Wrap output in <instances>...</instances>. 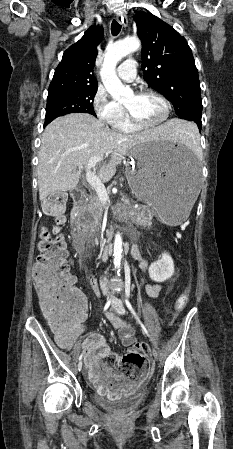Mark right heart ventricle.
I'll list each match as a JSON object with an SVG mask.
<instances>
[{
    "mask_svg": "<svg viewBox=\"0 0 233 449\" xmlns=\"http://www.w3.org/2000/svg\"><path fill=\"white\" fill-rule=\"evenodd\" d=\"M111 125L116 131L125 134H132L140 130L130 122L126 114V111L122 106H120L119 115L116 117V119L113 121Z\"/></svg>",
    "mask_w": 233,
    "mask_h": 449,
    "instance_id": "1",
    "label": "right heart ventricle"
}]
</instances>
